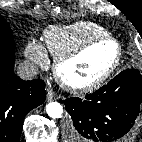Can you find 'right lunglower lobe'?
I'll return each instance as SVG.
<instances>
[{
  "instance_id": "1",
  "label": "right lung lower lobe",
  "mask_w": 142,
  "mask_h": 142,
  "mask_svg": "<svg viewBox=\"0 0 142 142\" xmlns=\"http://www.w3.org/2000/svg\"><path fill=\"white\" fill-rule=\"evenodd\" d=\"M14 62V54L0 52V142H19L26 114L46 97L44 81L20 79Z\"/></svg>"
}]
</instances>
